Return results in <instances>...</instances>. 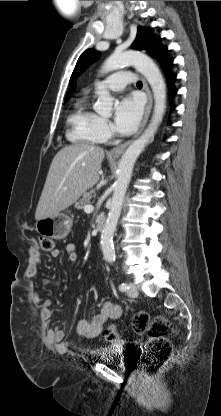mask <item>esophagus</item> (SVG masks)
Listing matches in <instances>:
<instances>
[{"mask_svg":"<svg viewBox=\"0 0 221 416\" xmlns=\"http://www.w3.org/2000/svg\"><path fill=\"white\" fill-rule=\"evenodd\" d=\"M142 82H143V88L147 94V104L145 107V113H144V117L142 120V123L140 125V128L138 130V132L134 135V137L114 148H112L109 152V156L111 157H119L121 156V154L124 152V150L126 149V147L131 143V141L136 138L144 129V127L146 126V123L148 121V118L150 116L151 113V109H152V104H153V99H152V94L150 92V89L145 81V79L142 77Z\"/></svg>","mask_w":221,"mask_h":416,"instance_id":"obj_1","label":"esophagus"}]
</instances>
